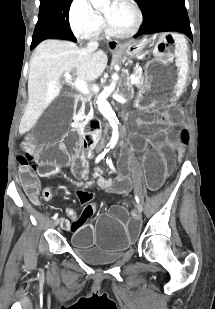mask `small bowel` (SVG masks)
<instances>
[{
    "mask_svg": "<svg viewBox=\"0 0 215 309\" xmlns=\"http://www.w3.org/2000/svg\"><path fill=\"white\" fill-rule=\"evenodd\" d=\"M126 190V186L125 185H120L117 189L118 193H122ZM79 194V193H78ZM28 195L30 197V199L36 203L37 202V198L39 195V186L38 183L34 180L33 183L28 185Z\"/></svg>",
    "mask_w": 215,
    "mask_h": 309,
    "instance_id": "small-bowel-1",
    "label": "small bowel"
}]
</instances>
